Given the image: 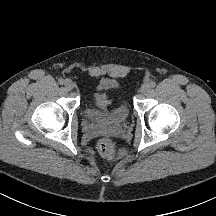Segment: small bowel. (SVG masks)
Instances as JSON below:
<instances>
[{"label": "small bowel", "instance_id": "small-bowel-1", "mask_svg": "<svg viewBox=\"0 0 216 216\" xmlns=\"http://www.w3.org/2000/svg\"><path fill=\"white\" fill-rule=\"evenodd\" d=\"M96 100L101 107H105L109 103V98L105 93H99L96 96Z\"/></svg>", "mask_w": 216, "mask_h": 216}]
</instances>
